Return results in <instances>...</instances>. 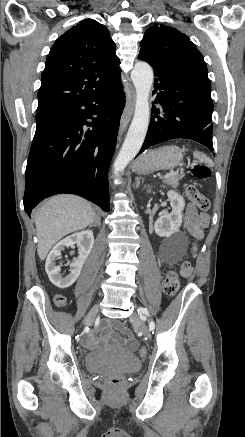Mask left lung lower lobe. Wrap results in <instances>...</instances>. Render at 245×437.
Listing matches in <instances>:
<instances>
[{
    "mask_svg": "<svg viewBox=\"0 0 245 437\" xmlns=\"http://www.w3.org/2000/svg\"><path fill=\"white\" fill-rule=\"evenodd\" d=\"M138 58L154 70L153 93L157 92L154 104L158 103L162 112L153 106L155 115L138 155L153 145L176 138L192 139L213 151L211 90L158 67L146 57Z\"/></svg>",
    "mask_w": 245,
    "mask_h": 437,
    "instance_id": "1",
    "label": "left lung lower lobe"
}]
</instances>
